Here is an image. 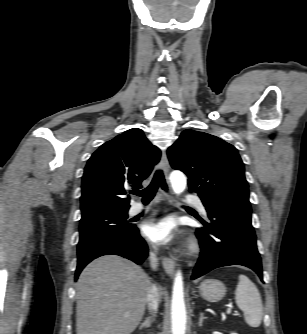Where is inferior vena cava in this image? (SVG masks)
I'll list each match as a JSON object with an SVG mask.
<instances>
[{
    "instance_id": "inferior-vena-cava-1",
    "label": "inferior vena cava",
    "mask_w": 307,
    "mask_h": 334,
    "mask_svg": "<svg viewBox=\"0 0 307 334\" xmlns=\"http://www.w3.org/2000/svg\"><path fill=\"white\" fill-rule=\"evenodd\" d=\"M149 259H150L151 267L153 269H156L158 267V260H157L155 252L150 253ZM159 301H160V295H159L158 287L155 284H152L149 289L148 296H147V303H148L149 310L156 312L158 309Z\"/></svg>"
}]
</instances>
